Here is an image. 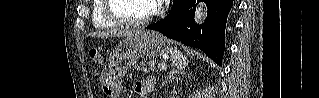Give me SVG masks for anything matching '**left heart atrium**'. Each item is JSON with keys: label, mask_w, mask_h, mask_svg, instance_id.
<instances>
[{"label": "left heart atrium", "mask_w": 319, "mask_h": 98, "mask_svg": "<svg viewBox=\"0 0 319 98\" xmlns=\"http://www.w3.org/2000/svg\"><path fill=\"white\" fill-rule=\"evenodd\" d=\"M153 3H154V6L155 7H159V6H161L163 3H164V1H162V0H157V1H153Z\"/></svg>", "instance_id": "obj_1"}]
</instances>
